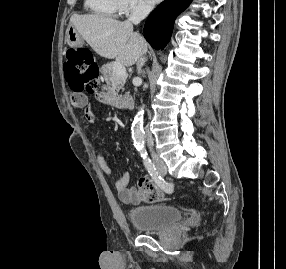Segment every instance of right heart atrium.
Returning <instances> with one entry per match:
<instances>
[{
	"instance_id": "d8ad5b80",
	"label": "right heart atrium",
	"mask_w": 286,
	"mask_h": 269,
	"mask_svg": "<svg viewBox=\"0 0 286 269\" xmlns=\"http://www.w3.org/2000/svg\"><path fill=\"white\" fill-rule=\"evenodd\" d=\"M120 13L123 15H143L151 11L148 0H119Z\"/></svg>"
}]
</instances>
